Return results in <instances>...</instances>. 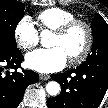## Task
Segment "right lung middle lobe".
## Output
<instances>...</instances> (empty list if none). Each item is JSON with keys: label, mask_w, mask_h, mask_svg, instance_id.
<instances>
[{"label": "right lung middle lobe", "mask_w": 108, "mask_h": 108, "mask_svg": "<svg viewBox=\"0 0 108 108\" xmlns=\"http://www.w3.org/2000/svg\"><path fill=\"white\" fill-rule=\"evenodd\" d=\"M24 16V4L16 0H0V46L16 49L15 29Z\"/></svg>", "instance_id": "1"}]
</instances>
